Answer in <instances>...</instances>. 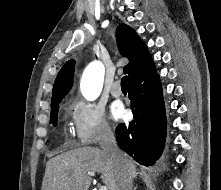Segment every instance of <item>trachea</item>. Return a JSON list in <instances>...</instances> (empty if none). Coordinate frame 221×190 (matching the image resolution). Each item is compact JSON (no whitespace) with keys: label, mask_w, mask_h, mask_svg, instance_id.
Listing matches in <instances>:
<instances>
[{"label":"trachea","mask_w":221,"mask_h":190,"mask_svg":"<svg viewBox=\"0 0 221 190\" xmlns=\"http://www.w3.org/2000/svg\"><path fill=\"white\" fill-rule=\"evenodd\" d=\"M121 88L122 89H127L128 86H127V76H124L122 79H121Z\"/></svg>","instance_id":"obj_1"}]
</instances>
